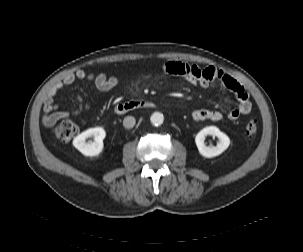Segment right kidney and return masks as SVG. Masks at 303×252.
I'll use <instances>...</instances> for the list:
<instances>
[{"label": "right kidney", "mask_w": 303, "mask_h": 252, "mask_svg": "<svg viewBox=\"0 0 303 252\" xmlns=\"http://www.w3.org/2000/svg\"><path fill=\"white\" fill-rule=\"evenodd\" d=\"M92 136L94 137V141L86 142V139ZM105 137L106 132L102 127L90 128L76 136L73 140V145L84 156L94 157L103 151V140Z\"/></svg>", "instance_id": "right-kidney-1"}]
</instances>
